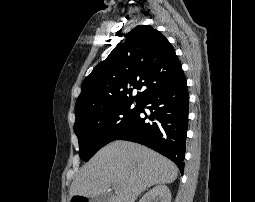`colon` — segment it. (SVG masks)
Listing matches in <instances>:
<instances>
[{"mask_svg": "<svg viewBox=\"0 0 255 202\" xmlns=\"http://www.w3.org/2000/svg\"><path fill=\"white\" fill-rule=\"evenodd\" d=\"M71 202H87V200L82 197H74L72 198Z\"/></svg>", "mask_w": 255, "mask_h": 202, "instance_id": "obj_1", "label": "colon"}]
</instances>
